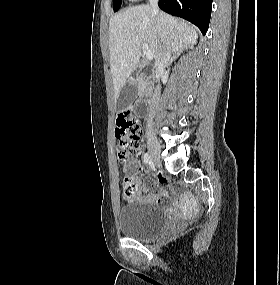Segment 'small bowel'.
Segmentation results:
<instances>
[{"instance_id": "small-bowel-1", "label": "small bowel", "mask_w": 280, "mask_h": 285, "mask_svg": "<svg viewBox=\"0 0 280 285\" xmlns=\"http://www.w3.org/2000/svg\"><path fill=\"white\" fill-rule=\"evenodd\" d=\"M124 170H134L135 172L139 171V161L137 158L132 157L126 160L124 165ZM133 189L128 190L126 193L128 198H136L140 201H145L148 203L157 202L160 203L162 201L163 191L159 188L158 192L155 194H151L148 192L149 186L154 185L153 182L147 179H141L139 177L133 178Z\"/></svg>"}]
</instances>
